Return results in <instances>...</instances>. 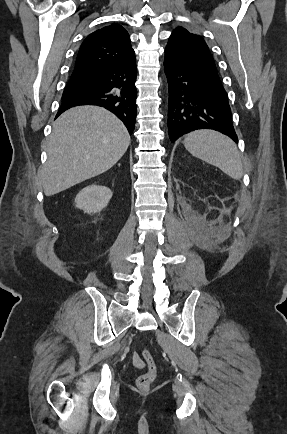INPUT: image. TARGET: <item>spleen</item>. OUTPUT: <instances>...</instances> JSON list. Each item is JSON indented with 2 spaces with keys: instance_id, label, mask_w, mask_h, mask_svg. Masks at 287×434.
Here are the masks:
<instances>
[{
  "instance_id": "spleen-1",
  "label": "spleen",
  "mask_w": 287,
  "mask_h": 434,
  "mask_svg": "<svg viewBox=\"0 0 287 434\" xmlns=\"http://www.w3.org/2000/svg\"><path fill=\"white\" fill-rule=\"evenodd\" d=\"M184 146L193 156L218 167L232 179L242 178L241 157L229 137L217 131L198 130L186 135Z\"/></svg>"
}]
</instances>
